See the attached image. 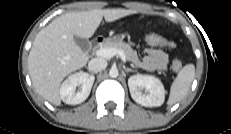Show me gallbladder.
I'll list each match as a JSON object with an SVG mask.
<instances>
[{
    "instance_id": "1",
    "label": "gallbladder",
    "mask_w": 231,
    "mask_h": 134,
    "mask_svg": "<svg viewBox=\"0 0 231 134\" xmlns=\"http://www.w3.org/2000/svg\"><path fill=\"white\" fill-rule=\"evenodd\" d=\"M74 41L83 51H86L89 47V42L85 38L75 36Z\"/></svg>"
}]
</instances>
